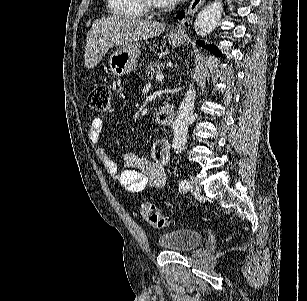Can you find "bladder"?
Here are the masks:
<instances>
[{
    "mask_svg": "<svg viewBox=\"0 0 307 301\" xmlns=\"http://www.w3.org/2000/svg\"><path fill=\"white\" fill-rule=\"evenodd\" d=\"M203 240V235L189 229L171 231L159 235V246L169 251H190L196 249Z\"/></svg>",
    "mask_w": 307,
    "mask_h": 301,
    "instance_id": "1",
    "label": "bladder"
}]
</instances>
